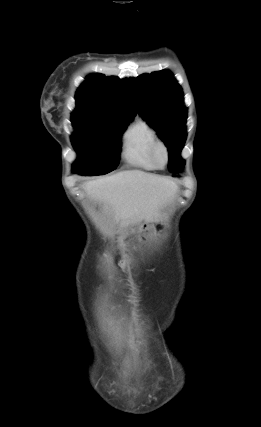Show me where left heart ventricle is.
Wrapping results in <instances>:
<instances>
[{
    "mask_svg": "<svg viewBox=\"0 0 261 427\" xmlns=\"http://www.w3.org/2000/svg\"><path fill=\"white\" fill-rule=\"evenodd\" d=\"M160 160L163 161V156L160 157Z\"/></svg>",
    "mask_w": 261,
    "mask_h": 427,
    "instance_id": "b2bd125f",
    "label": "left heart ventricle"
}]
</instances>
